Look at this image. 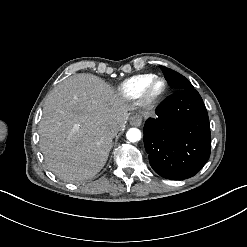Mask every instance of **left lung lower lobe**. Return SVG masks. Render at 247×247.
<instances>
[{
    "mask_svg": "<svg viewBox=\"0 0 247 247\" xmlns=\"http://www.w3.org/2000/svg\"><path fill=\"white\" fill-rule=\"evenodd\" d=\"M157 118L144 125V145L153 170L160 176L187 179L210 156L211 134L206 107L195 89L179 90L156 109Z\"/></svg>",
    "mask_w": 247,
    "mask_h": 247,
    "instance_id": "0a47b994",
    "label": "left lung lower lobe"
}]
</instances>
